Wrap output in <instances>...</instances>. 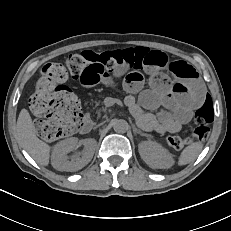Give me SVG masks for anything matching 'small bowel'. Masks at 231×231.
<instances>
[{
	"label": "small bowel",
	"instance_id": "1",
	"mask_svg": "<svg viewBox=\"0 0 231 231\" xmlns=\"http://www.w3.org/2000/svg\"><path fill=\"white\" fill-rule=\"evenodd\" d=\"M151 51V50H150ZM155 58L142 70H131L125 73L122 88L130 95L125 103L139 124L146 130L164 132H178L188 123L193 110L204 100L205 87L196 70L186 62H170L165 54L151 51ZM174 67L183 75L178 79L184 82V90L177 87L176 82L169 81L163 69ZM144 71L149 76L150 88L143 90L145 78ZM122 71L107 70L97 65H91L79 78L85 87H92L99 83L113 86L121 76ZM139 93L138 99L133 94ZM163 107L157 115L145 110H155Z\"/></svg>",
	"mask_w": 231,
	"mask_h": 231
}]
</instances>
